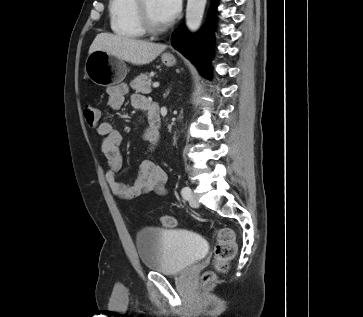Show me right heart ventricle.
Here are the masks:
<instances>
[{"instance_id": "obj_1", "label": "right heart ventricle", "mask_w": 363, "mask_h": 317, "mask_svg": "<svg viewBox=\"0 0 363 317\" xmlns=\"http://www.w3.org/2000/svg\"><path fill=\"white\" fill-rule=\"evenodd\" d=\"M111 30L125 38L143 37L145 31L135 14V0H109Z\"/></svg>"}]
</instances>
